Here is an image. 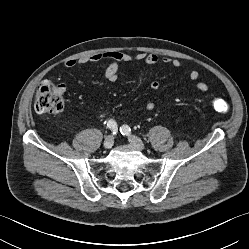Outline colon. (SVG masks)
<instances>
[{
  "mask_svg": "<svg viewBox=\"0 0 249 249\" xmlns=\"http://www.w3.org/2000/svg\"><path fill=\"white\" fill-rule=\"evenodd\" d=\"M64 104L62 84L56 85L49 80H45L39 85L34 100V109L37 113L59 114L63 111ZM211 106L219 113H225L229 108L228 103L220 98H214Z\"/></svg>",
  "mask_w": 249,
  "mask_h": 249,
  "instance_id": "obj_1",
  "label": "colon"
}]
</instances>
